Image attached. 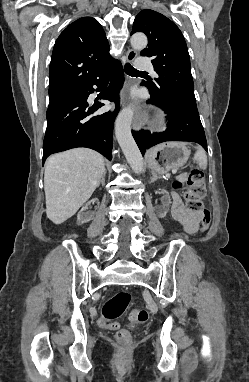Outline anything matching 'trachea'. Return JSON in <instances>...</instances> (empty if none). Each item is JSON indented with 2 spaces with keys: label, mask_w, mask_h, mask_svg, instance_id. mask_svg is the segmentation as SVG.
Wrapping results in <instances>:
<instances>
[{
  "label": "trachea",
  "mask_w": 249,
  "mask_h": 382,
  "mask_svg": "<svg viewBox=\"0 0 249 382\" xmlns=\"http://www.w3.org/2000/svg\"><path fill=\"white\" fill-rule=\"evenodd\" d=\"M124 70H125V73L130 75V76H133V75H137V74H146V72H143V71H138L137 69H135L131 64L129 63H126L125 66H124Z\"/></svg>",
  "instance_id": "trachea-1"
}]
</instances>
